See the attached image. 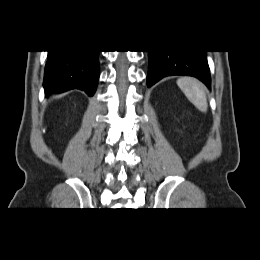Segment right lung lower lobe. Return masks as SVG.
Here are the masks:
<instances>
[{
	"label": "right lung lower lobe",
	"mask_w": 260,
	"mask_h": 260,
	"mask_svg": "<svg viewBox=\"0 0 260 260\" xmlns=\"http://www.w3.org/2000/svg\"><path fill=\"white\" fill-rule=\"evenodd\" d=\"M48 52L43 84L46 94L80 89L93 96L99 79V51Z\"/></svg>",
	"instance_id": "obj_1"
}]
</instances>
